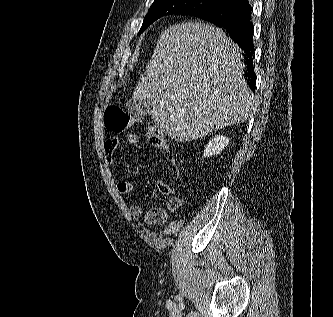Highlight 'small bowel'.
Instances as JSON below:
<instances>
[{
    "label": "small bowel",
    "mask_w": 333,
    "mask_h": 317,
    "mask_svg": "<svg viewBox=\"0 0 333 317\" xmlns=\"http://www.w3.org/2000/svg\"><path fill=\"white\" fill-rule=\"evenodd\" d=\"M125 139L135 149H140V139L136 133L126 134ZM119 143L120 139L118 137H111L104 143V158L108 165H112L114 153ZM117 189L122 196H130L134 192L133 184L126 179H120L118 181ZM158 189L162 194L170 196L166 202V209L162 207H152L147 211H144L138 204H133L131 206L132 213L135 216L143 217L144 221L150 226L163 225L168 219V213H176L182 204L180 198L173 196L175 189L171 185L163 181H159Z\"/></svg>",
    "instance_id": "1"
}]
</instances>
